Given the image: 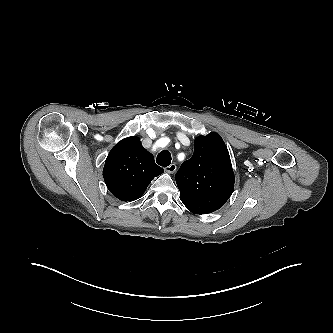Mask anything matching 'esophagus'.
Instances as JSON below:
<instances>
[{
	"instance_id": "1",
	"label": "esophagus",
	"mask_w": 333,
	"mask_h": 333,
	"mask_svg": "<svg viewBox=\"0 0 333 333\" xmlns=\"http://www.w3.org/2000/svg\"><path fill=\"white\" fill-rule=\"evenodd\" d=\"M176 169H177V166L175 164H171L165 168V171L172 174L176 171Z\"/></svg>"
}]
</instances>
